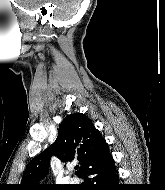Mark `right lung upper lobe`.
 I'll return each instance as SVG.
<instances>
[{"label":"right lung upper lobe","instance_id":"cb5924a9","mask_svg":"<svg viewBox=\"0 0 165 190\" xmlns=\"http://www.w3.org/2000/svg\"><path fill=\"white\" fill-rule=\"evenodd\" d=\"M109 154L108 144L91 120L82 113L70 114L60 124L59 134L54 144L30 161L18 189L60 188L57 185L38 184L48 173L52 155L64 161L76 158L80 164L78 170L80 176Z\"/></svg>","mask_w":165,"mask_h":190}]
</instances>
